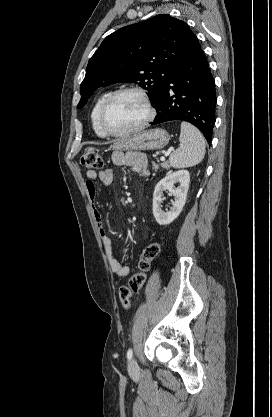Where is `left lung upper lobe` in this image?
Masks as SVG:
<instances>
[{
	"label": "left lung upper lobe",
	"mask_w": 272,
	"mask_h": 417,
	"mask_svg": "<svg viewBox=\"0 0 272 417\" xmlns=\"http://www.w3.org/2000/svg\"><path fill=\"white\" fill-rule=\"evenodd\" d=\"M200 48L189 26L169 15L121 28L107 36L89 60L78 108L99 87L117 82L147 89L155 107L173 71Z\"/></svg>",
	"instance_id": "obj_1"
}]
</instances>
